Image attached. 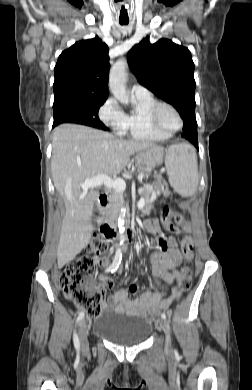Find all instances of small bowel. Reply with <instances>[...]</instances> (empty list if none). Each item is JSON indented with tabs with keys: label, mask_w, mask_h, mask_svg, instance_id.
<instances>
[{
	"label": "small bowel",
	"mask_w": 252,
	"mask_h": 390,
	"mask_svg": "<svg viewBox=\"0 0 252 390\" xmlns=\"http://www.w3.org/2000/svg\"><path fill=\"white\" fill-rule=\"evenodd\" d=\"M185 224L184 220V223L180 226L187 230L188 228ZM146 230L155 235L157 240L156 250L150 255V263L152 273L156 278L157 290L155 292L144 290L139 297H133L137 289L136 286H132L130 290L120 289L114 292L108 300H103L102 307L105 311H115L120 314L146 318L149 313L157 310H168L176 298L177 286L175 285L171 287L170 294L165 296L168 286L179 278L177 267L181 263L182 255L177 249L176 241L173 237L164 236L155 220L146 222ZM192 258L193 255L189 260ZM96 264L102 267L107 266L109 260L99 257L96 259ZM98 286L101 289H113L114 282L107 276L102 275L99 277Z\"/></svg>",
	"instance_id": "c3829d8e"
}]
</instances>
